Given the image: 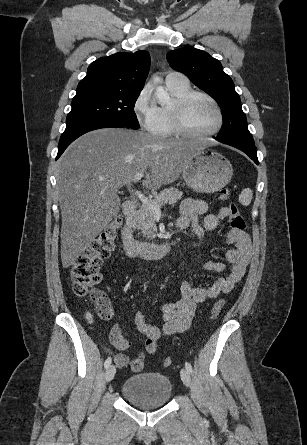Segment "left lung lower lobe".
Masks as SVG:
<instances>
[{
    "label": "left lung lower lobe",
    "instance_id": "left-lung-lower-lobe-1",
    "mask_svg": "<svg viewBox=\"0 0 307 445\" xmlns=\"http://www.w3.org/2000/svg\"><path fill=\"white\" fill-rule=\"evenodd\" d=\"M216 140L231 145L244 153H246L256 164H258L257 152L254 141L238 140V139H218Z\"/></svg>",
    "mask_w": 307,
    "mask_h": 445
}]
</instances>
